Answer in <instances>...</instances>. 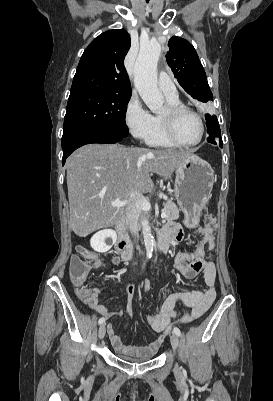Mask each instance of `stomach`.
<instances>
[{"label":"stomach","instance_id":"0dacf381","mask_svg":"<svg viewBox=\"0 0 273 401\" xmlns=\"http://www.w3.org/2000/svg\"><path fill=\"white\" fill-rule=\"evenodd\" d=\"M174 194L180 211L184 213L183 225L195 229L206 207L215 176L214 170L203 158H187L175 168Z\"/></svg>","mask_w":273,"mask_h":401}]
</instances>
